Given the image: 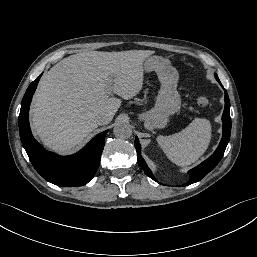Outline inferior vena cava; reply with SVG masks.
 <instances>
[{
    "label": "inferior vena cava",
    "instance_id": "inferior-vena-cava-1",
    "mask_svg": "<svg viewBox=\"0 0 257 257\" xmlns=\"http://www.w3.org/2000/svg\"><path fill=\"white\" fill-rule=\"evenodd\" d=\"M110 120H111V115L109 114H103L96 117V123L98 125L107 124Z\"/></svg>",
    "mask_w": 257,
    "mask_h": 257
}]
</instances>
